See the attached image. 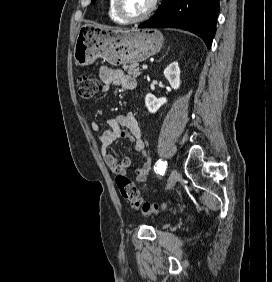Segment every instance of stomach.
<instances>
[{
	"label": "stomach",
	"instance_id": "1",
	"mask_svg": "<svg viewBox=\"0 0 272 282\" xmlns=\"http://www.w3.org/2000/svg\"><path fill=\"white\" fill-rule=\"evenodd\" d=\"M163 44L162 34L155 29L122 30L102 25H84L73 49L77 66L103 58L111 65L136 64L158 53Z\"/></svg>",
	"mask_w": 272,
	"mask_h": 282
}]
</instances>
